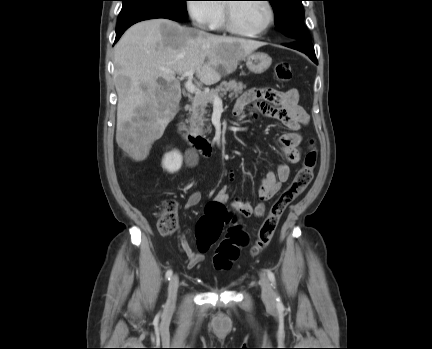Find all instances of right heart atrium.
<instances>
[{"label":"right heart atrium","mask_w":432,"mask_h":349,"mask_svg":"<svg viewBox=\"0 0 432 349\" xmlns=\"http://www.w3.org/2000/svg\"><path fill=\"white\" fill-rule=\"evenodd\" d=\"M187 11L195 26L211 29L220 13V3L216 0H189Z\"/></svg>","instance_id":"1"}]
</instances>
